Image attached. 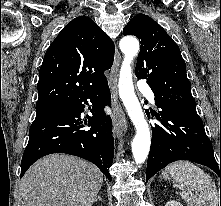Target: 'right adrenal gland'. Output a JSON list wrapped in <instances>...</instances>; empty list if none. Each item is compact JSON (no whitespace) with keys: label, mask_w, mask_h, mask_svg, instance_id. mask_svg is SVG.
I'll use <instances>...</instances> for the list:
<instances>
[{"label":"right adrenal gland","mask_w":221,"mask_h":206,"mask_svg":"<svg viewBox=\"0 0 221 206\" xmlns=\"http://www.w3.org/2000/svg\"><path fill=\"white\" fill-rule=\"evenodd\" d=\"M98 200H99V201H103L101 195H98V197L95 199V202H97Z\"/></svg>","instance_id":"1"}]
</instances>
